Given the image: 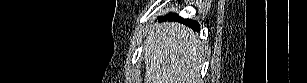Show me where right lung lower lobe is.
<instances>
[{
	"instance_id": "98d812e1",
	"label": "right lung lower lobe",
	"mask_w": 307,
	"mask_h": 83,
	"mask_svg": "<svg viewBox=\"0 0 307 83\" xmlns=\"http://www.w3.org/2000/svg\"><path fill=\"white\" fill-rule=\"evenodd\" d=\"M178 20L186 24L187 26L191 27L192 29H195L197 31H200V26L196 21H192L189 19H183L179 17L177 14H168L167 16L163 17L162 20Z\"/></svg>"
}]
</instances>
